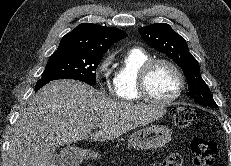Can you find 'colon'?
Returning <instances> with one entry per match:
<instances>
[{
	"instance_id": "colon-1",
	"label": "colon",
	"mask_w": 231,
	"mask_h": 166,
	"mask_svg": "<svg viewBox=\"0 0 231 166\" xmlns=\"http://www.w3.org/2000/svg\"><path fill=\"white\" fill-rule=\"evenodd\" d=\"M171 116L178 128H186L197 118V111L190 107H176L171 111ZM191 150L193 166L214 165L216 143L212 139L204 136L195 137L191 141ZM182 164L183 158L180 154H171L162 163L151 166H182Z\"/></svg>"
}]
</instances>
